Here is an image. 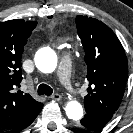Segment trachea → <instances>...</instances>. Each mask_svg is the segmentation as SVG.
I'll use <instances>...</instances> for the list:
<instances>
[{
	"instance_id": "3493384b",
	"label": "trachea",
	"mask_w": 133,
	"mask_h": 133,
	"mask_svg": "<svg viewBox=\"0 0 133 133\" xmlns=\"http://www.w3.org/2000/svg\"><path fill=\"white\" fill-rule=\"evenodd\" d=\"M38 95H47V96H50L52 95L53 93V89L46 85V84H41L39 87H38Z\"/></svg>"
}]
</instances>
